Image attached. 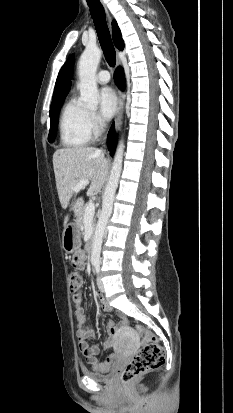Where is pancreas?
Wrapping results in <instances>:
<instances>
[{"mask_svg":"<svg viewBox=\"0 0 233 413\" xmlns=\"http://www.w3.org/2000/svg\"><path fill=\"white\" fill-rule=\"evenodd\" d=\"M88 206H89V204H86L83 208H81V210H80V212L77 216L76 224L80 229L84 228L85 210ZM92 225H93V227L95 226V218H93Z\"/></svg>","mask_w":233,"mask_h":413,"instance_id":"cf45deb5","label":"pancreas"}]
</instances>
